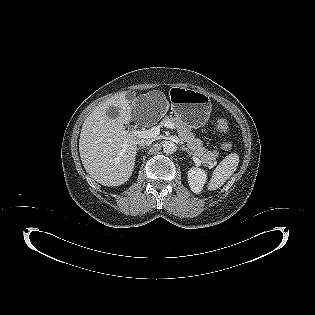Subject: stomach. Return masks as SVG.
<instances>
[{"mask_svg": "<svg viewBox=\"0 0 315 315\" xmlns=\"http://www.w3.org/2000/svg\"><path fill=\"white\" fill-rule=\"evenodd\" d=\"M172 111L189 128H199L208 121L212 104L210 97L195 89L172 87L169 91Z\"/></svg>", "mask_w": 315, "mask_h": 315, "instance_id": "obj_1", "label": "stomach"}]
</instances>
